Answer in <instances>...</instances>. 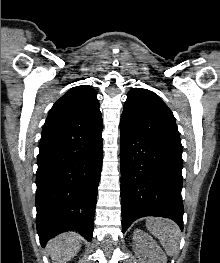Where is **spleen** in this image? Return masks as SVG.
<instances>
[{
    "label": "spleen",
    "mask_w": 220,
    "mask_h": 263,
    "mask_svg": "<svg viewBox=\"0 0 220 263\" xmlns=\"http://www.w3.org/2000/svg\"><path fill=\"white\" fill-rule=\"evenodd\" d=\"M146 227L151 234L158 238L167 255L178 254L181 233L175 222L165 218H148Z\"/></svg>",
    "instance_id": "1"
}]
</instances>
